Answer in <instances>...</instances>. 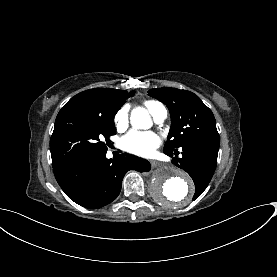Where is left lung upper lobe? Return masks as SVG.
<instances>
[{"label": "left lung upper lobe", "instance_id": "left-lung-upper-lobe-1", "mask_svg": "<svg viewBox=\"0 0 277 277\" xmlns=\"http://www.w3.org/2000/svg\"><path fill=\"white\" fill-rule=\"evenodd\" d=\"M148 94L169 109L171 128L164 152L203 137H218L212 111L194 93L176 88L150 89Z\"/></svg>", "mask_w": 277, "mask_h": 277}]
</instances>
